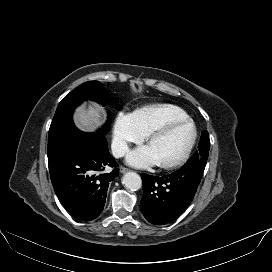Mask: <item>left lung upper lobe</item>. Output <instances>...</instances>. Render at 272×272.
Wrapping results in <instances>:
<instances>
[{
  "instance_id": "left-lung-upper-lobe-1",
  "label": "left lung upper lobe",
  "mask_w": 272,
  "mask_h": 272,
  "mask_svg": "<svg viewBox=\"0 0 272 272\" xmlns=\"http://www.w3.org/2000/svg\"><path fill=\"white\" fill-rule=\"evenodd\" d=\"M198 148V152H196L184 166L206 165L210 149V140L207 131L202 132Z\"/></svg>"
}]
</instances>
